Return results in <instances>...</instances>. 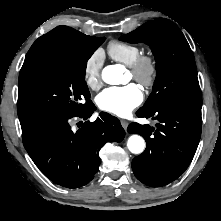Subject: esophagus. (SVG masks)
<instances>
[{"instance_id": "1", "label": "esophagus", "mask_w": 221, "mask_h": 221, "mask_svg": "<svg viewBox=\"0 0 221 221\" xmlns=\"http://www.w3.org/2000/svg\"><path fill=\"white\" fill-rule=\"evenodd\" d=\"M121 125H122V127L126 130L127 129V127H128V121L127 120H124V119H122L121 121Z\"/></svg>"}]
</instances>
